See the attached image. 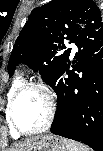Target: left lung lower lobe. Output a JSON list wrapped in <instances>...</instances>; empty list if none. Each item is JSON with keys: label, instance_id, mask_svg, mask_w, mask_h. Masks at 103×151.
Here are the masks:
<instances>
[{"label": "left lung lower lobe", "instance_id": "0a47b994", "mask_svg": "<svg viewBox=\"0 0 103 151\" xmlns=\"http://www.w3.org/2000/svg\"><path fill=\"white\" fill-rule=\"evenodd\" d=\"M75 43L72 66L68 60L49 84L58 97L51 132L103 151V27H88Z\"/></svg>", "mask_w": 103, "mask_h": 151}]
</instances>
